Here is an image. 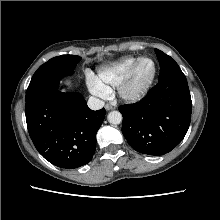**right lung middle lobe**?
<instances>
[{"instance_id": "right-lung-middle-lobe-1", "label": "right lung middle lobe", "mask_w": 220, "mask_h": 220, "mask_svg": "<svg viewBox=\"0 0 220 220\" xmlns=\"http://www.w3.org/2000/svg\"><path fill=\"white\" fill-rule=\"evenodd\" d=\"M81 57L61 55L48 60L34 73L27 88L26 101L48 91L56 90L60 79L73 73Z\"/></svg>"}]
</instances>
